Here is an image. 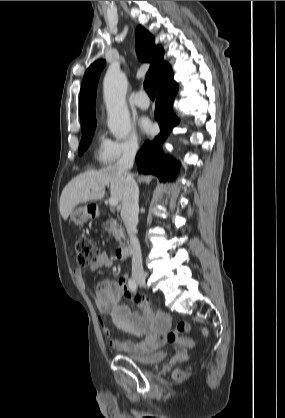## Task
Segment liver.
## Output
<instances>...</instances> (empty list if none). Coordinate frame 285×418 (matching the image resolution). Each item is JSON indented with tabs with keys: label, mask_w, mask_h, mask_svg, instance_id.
<instances>
[{
	"label": "liver",
	"mask_w": 285,
	"mask_h": 418,
	"mask_svg": "<svg viewBox=\"0 0 285 418\" xmlns=\"http://www.w3.org/2000/svg\"><path fill=\"white\" fill-rule=\"evenodd\" d=\"M125 177L116 165L99 171L90 170L72 179L63 189L60 197V214L67 220L74 208L81 203L100 200L105 195V187L110 185L111 197L122 200ZM101 188L100 190H94Z\"/></svg>",
	"instance_id": "obj_1"
}]
</instances>
